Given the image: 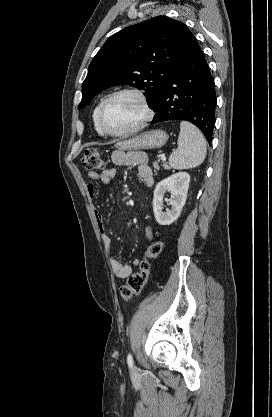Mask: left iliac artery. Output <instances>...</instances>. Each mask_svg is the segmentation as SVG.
I'll return each instance as SVG.
<instances>
[{"label": "left iliac artery", "mask_w": 272, "mask_h": 417, "mask_svg": "<svg viewBox=\"0 0 272 417\" xmlns=\"http://www.w3.org/2000/svg\"><path fill=\"white\" fill-rule=\"evenodd\" d=\"M127 363L129 365V367H132L133 366V357H132V355L130 353L127 356Z\"/></svg>", "instance_id": "44dca946"}]
</instances>
